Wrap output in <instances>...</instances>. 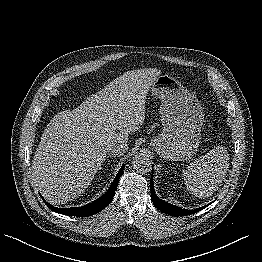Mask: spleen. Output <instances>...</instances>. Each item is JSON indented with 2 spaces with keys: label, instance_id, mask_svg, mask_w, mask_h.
Segmentation results:
<instances>
[{
  "label": "spleen",
  "instance_id": "1",
  "mask_svg": "<svg viewBox=\"0 0 262 262\" xmlns=\"http://www.w3.org/2000/svg\"><path fill=\"white\" fill-rule=\"evenodd\" d=\"M229 168V154L217 146L183 170L187 189L199 198L212 195L222 184Z\"/></svg>",
  "mask_w": 262,
  "mask_h": 262
}]
</instances>
